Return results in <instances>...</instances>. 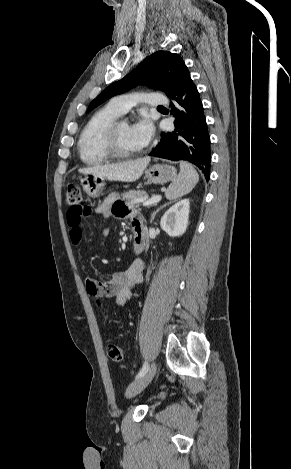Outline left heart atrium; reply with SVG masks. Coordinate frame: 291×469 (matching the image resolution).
<instances>
[{
	"mask_svg": "<svg viewBox=\"0 0 291 469\" xmlns=\"http://www.w3.org/2000/svg\"><path fill=\"white\" fill-rule=\"evenodd\" d=\"M134 139L141 147H145L154 135V126L147 115H142L132 126Z\"/></svg>",
	"mask_w": 291,
	"mask_h": 469,
	"instance_id": "left-heart-atrium-1",
	"label": "left heart atrium"
}]
</instances>
